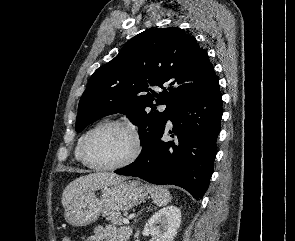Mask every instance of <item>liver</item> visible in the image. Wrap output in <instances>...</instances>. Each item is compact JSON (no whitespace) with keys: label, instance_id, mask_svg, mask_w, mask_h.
Listing matches in <instances>:
<instances>
[{"label":"liver","instance_id":"liver-1","mask_svg":"<svg viewBox=\"0 0 295 241\" xmlns=\"http://www.w3.org/2000/svg\"><path fill=\"white\" fill-rule=\"evenodd\" d=\"M125 180L124 177L113 173L98 172L76 178L70 182L62 194V205L66 208L75 198L90 191H96L104 186Z\"/></svg>","mask_w":295,"mask_h":241}]
</instances>
